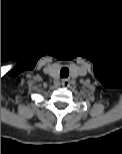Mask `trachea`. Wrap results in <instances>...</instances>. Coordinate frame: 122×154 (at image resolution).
Here are the masks:
<instances>
[{
  "label": "trachea",
  "mask_w": 122,
  "mask_h": 154,
  "mask_svg": "<svg viewBox=\"0 0 122 154\" xmlns=\"http://www.w3.org/2000/svg\"><path fill=\"white\" fill-rule=\"evenodd\" d=\"M69 76V69L67 67H63L60 70V77L61 78H67Z\"/></svg>",
  "instance_id": "trachea-1"
}]
</instances>
